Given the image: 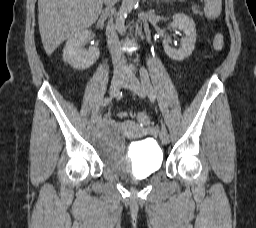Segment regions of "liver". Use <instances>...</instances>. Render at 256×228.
I'll return each instance as SVG.
<instances>
[{
    "instance_id": "liver-1",
    "label": "liver",
    "mask_w": 256,
    "mask_h": 228,
    "mask_svg": "<svg viewBox=\"0 0 256 228\" xmlns=\"http://www.w3.org/2000/svg\"><path fill=\"white\" fill-rule=\"evenodd\" d=\"M104 0H38V23L44 50L50 56L67 38L92 26Z\"/></svg>"
}]
</instances>
